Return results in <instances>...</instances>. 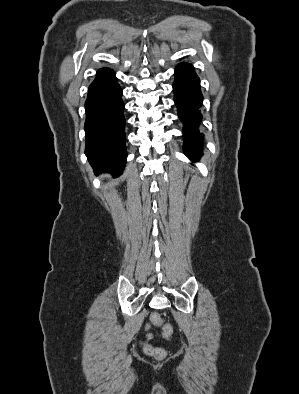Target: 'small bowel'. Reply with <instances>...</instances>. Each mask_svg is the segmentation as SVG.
<instances>
[{"instance_id":"obj_1","label":"small bowel","mask_w":299,"mask_h":394,"mask_svg":"<svg viewBox=\"0 0 299 394\" xmlns=\"http://www.w3.org/2000/svg\"><path fill=\"white\" fill-rule=\"evenodd\" d=\"M146 328L149 329V324H147Z\"/></svg>"}]
</instances>
